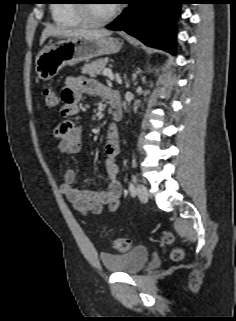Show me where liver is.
I'll use <instances>...</instances> for the list:
<instances>
[{
    "mask_svg": "<svg viewBox=\"0 0 236 321\" xmlns=\"http://www.w3.org/2000/svg\"><path fill=\"white\" fill-rule=\"evenodd\" d=\"M112 34V31L106 29H60L55 26L49 25L47 26L41 35L40 45L44 43V41L51 36L54 37H71V36H82L88 39H98L101 37H107Z\"/></svg>",
    "mask_w": 236,
    "mask_h": 321,
    "instance_id": "6515ba94",
    "label": "liver"
}]
</instances>
